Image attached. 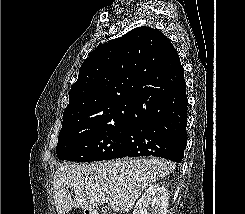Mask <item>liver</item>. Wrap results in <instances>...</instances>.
<instances>
[{"label": "liver", "mask_w": 245, "mask_h": 214, "mask_svg": "<svg viewBox=\"0 0 245 214\" xmlns=\"http://www.w3.org/2000/svg\"><path fill=\"white\" fill-rule=\"evenodd\" d=\"M174 169L170 161L155 158L66 164L53 177L56 211L66 214L73 207L91 210L107 203L114 212L127 213L146 188ZM69 188L74 189V198Z\"/></svg>", "instance_id": "obj_1"}]
</instances>
